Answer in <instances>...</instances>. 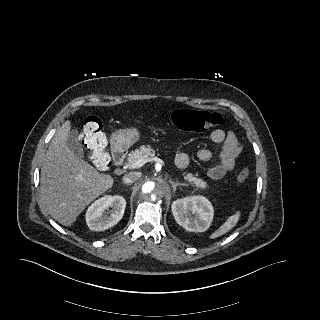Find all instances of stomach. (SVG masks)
<instances>
[{
  "mask_svg": "<svg viewBox=\"0 0 320 320\" xmlns=\"http://www.w3.org/2000/svg\"><path fill=\"white\" fill-rule=\"evenodd\" d=\"M140 138V133L136 128L119 129L112 133L111 144L115 148L128 149Z\"/></svg>",
  "mask_w": 320,
  "mask_h": 320,
  "instance_id": "stomach-1",
  "label": "stomach"
}]
</instances>
